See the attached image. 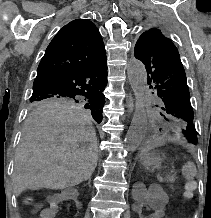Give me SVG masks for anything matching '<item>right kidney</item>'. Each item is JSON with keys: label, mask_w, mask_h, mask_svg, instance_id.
Here are the masks:
<instances>
[{"label": "right kidney", "mask_w": 211, "mask_h": 218, "mask_svg": "<svg viewBox=\"0 0 211 218\" xmlns=\"http://www.w3.org/2000/svg\"><path fill=\"white\" fill-rule=\"evenodd\" d=\"M77 196L79 194L75 188H66L62 193H50V197H47V202L50 206L48 218H62L60 214H64V209H61L63 202H72Z\"/></svg>", "instance_id": "1"}]
</instances>
